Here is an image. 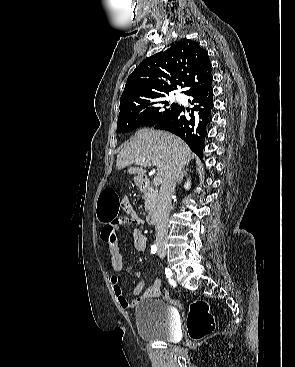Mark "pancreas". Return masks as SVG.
<instances>
[{
	"label": "pancreas",
	"mask_w": 295,
	"mask_h": 367,
	"mask_svg": "<svg viewBox=\"0 0 295 367\" xmlns=\"http://www.w3.org/2000/svg\"><path fill=\"white\" fill-rule=\"evenodd\" d=\"M145 200V211H153L157 205V191L153 188L148 189L143 196Z\"/></svg>",
	"instance_id": "cf45deb5"
}]
</instances>
